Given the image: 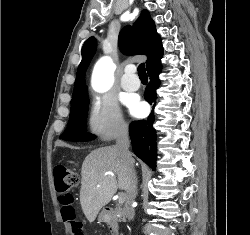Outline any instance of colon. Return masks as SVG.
I'll return each instance as SVG.
<instances>
[{
  "instance_id": "1",
  "label": "colon",
  "mask_w": 250,
  "mask_h": 235,
  "mask_svg": "<svg viewBox=\"0 0 250 235\" xmlns=\"http://www.w3.org/2000/svg\"><path fill=\"white\" fill-rule=\"evenodd\" d=\"M55 187L60 193L59 203L63 219L70 224L73 235H85L82 221L78 218L73 205V197L68 193L79 182L78 174L68 166L58 165L55 168Z\"/></svg>"
}]
</instances>
